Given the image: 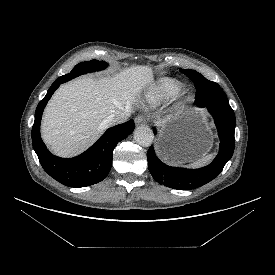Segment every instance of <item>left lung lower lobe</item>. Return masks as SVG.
<instances>
[{"mask_svg":"<svg viewBox=\"0 0 275 275\" xmlns=\"http://www.w3.org/2000/svg\"><path fill=\"white\" fill-rule=\"evenodd\" d=\"M196 105L206 107L214 117L220 138L219 153L213 162L206 167L183 169L162 163L157 158L153 146H151L147 152L148 168L152 177L161 185L178 190L200 187L217 177L233 155L235 115L231 106L212 103L208 100L196 101Z\"/></svg>","mask_w":275,"mask_h":275,"instance_id":"obj_1","label":"left lung lower lobe"}]
</instances>
